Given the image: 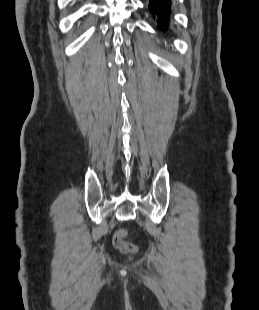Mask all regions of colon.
Wrapping results in <instances>:
<instances>
[{"mask_svg":"<svg viewBox=\"0 0 259 310\" xmlns=\"http://www.w3.org/2000/svg\"><path fill=\"white\" fill-rule=\"evenodd\" d=\"M128 235L127 230L120 229L118 230L113 238L114 246L123 253H134L137 251V247L134 244H131L126 241Z\"/></svg>","mask_w":259,"mask_h":310,"instance_id":"obj_1","label":"colon"}]
</instances>
